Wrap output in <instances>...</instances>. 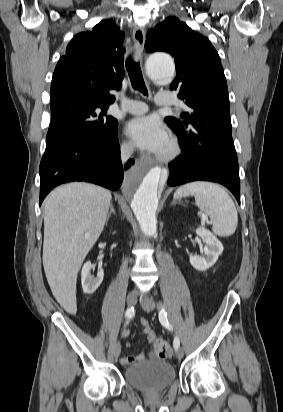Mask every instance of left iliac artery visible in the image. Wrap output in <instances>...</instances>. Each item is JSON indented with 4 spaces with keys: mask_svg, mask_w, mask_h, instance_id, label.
Returning a JSON list of instances; mask_svg holds the SVG:
<instances>
[{
    "mask_svg": "<svg viewBox=\"0 0 283 412\" xmlns=\"http://www.w3.org/2000/svg\"><path fill=\"white\" fill-rule=\"evenodd\" d=\"M159 321L164 327H166L169 330H172V326L170 325V323L168 321L167 312L165 310L164 305H161V309L159 311ZM173 346H174L175 349H178L179 346H180V341H179V338L177 336L174 337Z\"/></svg>",
    "mask_w": 283,
    "mask_h": 412,
    "instance_id": "left-iliac-artery-1",
    "label": "left iliac artery"
}]
</instances>
